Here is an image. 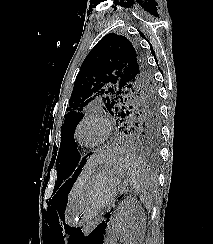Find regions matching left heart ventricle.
I'll return each instance as SVG.
<instances>
[{
  "label": "left heart ventricle",
  "instance_id": "obj_1",
  "mask_svg": "<svg viewBox=\"0 0 213 244\" xmlns=\"http://www.w3.org/2000/svg\"><path fill=\"white\" fill-rule=\"evenodd\" d=\"M103 136V127L97 122L84 124L79 132L81 141L92 144L99 141Z\"/></svg>",
  "mask_w": 213,
  "mask_h": 244
}]
</instances>
